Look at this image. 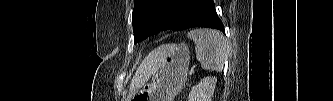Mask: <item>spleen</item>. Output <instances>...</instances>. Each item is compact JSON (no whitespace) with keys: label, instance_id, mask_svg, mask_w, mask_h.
<instances>
[{"label":"spleen","instance_id":"1","mask_svg":"<svg viewBox=\"0 0 333 101\" xmlns=\"http://www.w3.org/2000/svg\"><path fill=\"white\" fill-rule=\"evenodd\" d=\"M195 43L197 60L205 70L221 71L228 59L230 46L227 39L217 30L196 29L188 33Z\"/></svg>","mask_w":333,"mask_h":101}]
</instances>
